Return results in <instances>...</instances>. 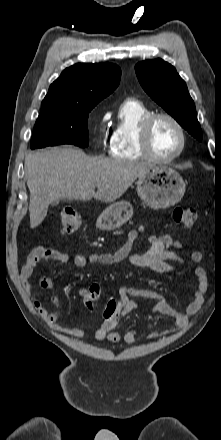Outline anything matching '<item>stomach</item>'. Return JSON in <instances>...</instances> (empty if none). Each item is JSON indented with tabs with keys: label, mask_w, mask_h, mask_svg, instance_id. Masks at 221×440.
Segmentation results:
<instances>
[{
	"label": "stomach",
	"mask_w": 221,
	"mask_h": 440,
	"mask_svg": "<svg viewBox=\"0 0 221 440\" xmlns=\"http://www.w3.org/2000/svg\"><path fill=\"white\" fill-rule=\"evenodd\" d=\"M136 185L138 196L155 208H166L176 204L184 196L186 188L181 175L166 166H153L138 178ZM132 215V205L128 201H118L101 213L96 226L101 230H114L127 222Z\"/></svg>",
	"instance_id": "0dacf381"
}]
</instances>
